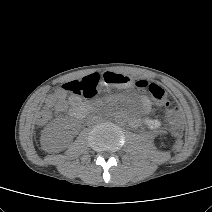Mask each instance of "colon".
<instances>
[{
    "instance_id": "colon-1",
    "label": "colon",
    "mask_w": 212,
    "mask_h": 212,
    "mask_svg": "<svg viewBox=\"0 0 212 212\" xmlns=\"http://www.w3.org/2000/svg\"><path fill=\"white\" fill-rule=\"evenodd\" d=\"M104 77V76H103ZM100 74L94 73L87 75L81 79L69 81L62 85L59 93L71 94L76 97L93 98L98 94L99 86L103 80ZM136 86L142 90H148L154 101L164 107L170 106V101L166 91L155 83H149L145 80L136 82ZM168 117L175 125L181 120V110L178 107H173L168 111ZM50 118L49 109H43L37 117L40 124H44Z\"/></svg>"
}]
</instances>
